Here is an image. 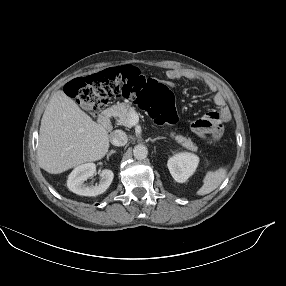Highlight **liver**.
Wrapping results in <instances>:
<instances>
[{
  "instance_id": "liver-1",
  "label": "liver",
  "mask_w": 286,
  "mask_h": 286,
  "mask_svg": "<svg viewBox=\"0 0 286 286\" xmlns=\"http://www.w3.org/2000/svg\"><path fill=\"white\" fill-rule=\"evenodd\" d=\"M109 134L82 111L64 91L55 92L41 120L37 158L39 166L59 174L86 162L102 159Z\"/></svg>"
}]
</instances>
